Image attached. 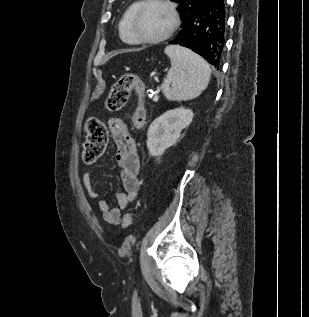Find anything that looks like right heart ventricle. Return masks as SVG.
I'll list each match as a JSON object with an SVG mask.
<instances>
[{
	"label": "right heart ventricle",
	"mask_w": 309,
	"mask_h": 317,
	"mask_svg": "<svg viewBox=\"0 0 309 317\" xmlns=\"http://www.w3.org/2000/svg\"><path fill=\"white\" fill-rule=\"evenodd\" d=\"M140 1L133 2L123 14L119 22V33L121 39L128 44H137L131 29V19Z\"/></svg>",
	"instance_id": "obj_1"
}]
</instances>
